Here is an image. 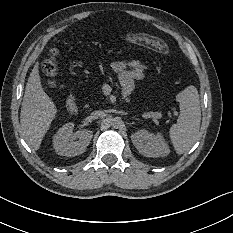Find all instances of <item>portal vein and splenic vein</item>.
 <instances>
[{
    "mask_svg": "<svg viewBox=\"0 0 233 233\" xmlns=\"http://www.w3.org/2000/svg\"><path fill=\"white\" fill-rule=\"evenodd\" d=\"M142 117L143 118H161L162 115L161 113H158V112H148V113H144L142 114Z\"/></svg>",
    "mask_w": 233,
    "mask_h": 233,
    "instance_id": "obj_1",
    "label": "portal vein and splenic vein"
}]
</instances>
